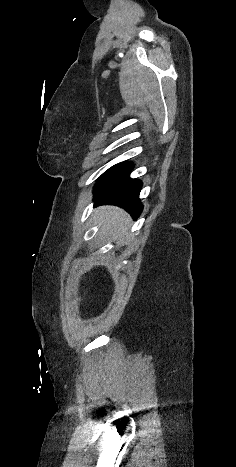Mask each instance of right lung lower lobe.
<instances>
[{
    "instance_id": "98d812e1",
    "label": "right lung lower lobe",
    "mask_w": 236,
    "mask_h": 467,
    "mask_svg": "<svg viewBox=\"0 0 236 467\" xmlns=\"http://www.w3.org/2000/svg\"><path fill=\"white\" fill-rule=\"evenodd\" d=\"M132 168L131 163L123 162L114 165L98 178L94 190L95 206L116 205L124 208L134 219L139 217L143 209L139 199L142 182L129 177Z\"/></svg>"
}]
</instances>
